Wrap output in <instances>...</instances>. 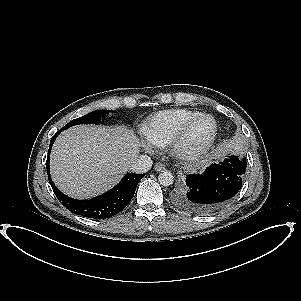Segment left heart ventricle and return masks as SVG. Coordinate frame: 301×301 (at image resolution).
<instances>
[{
  "instance_id": "b2bd125f",
  "label": "left heart ventricle",
  "mask_w": 301,
  "mask_h": 301,
  "mask_svg": "<svg viewBox=\"0 0 301 301\" xmlns=\"http://www.w3.org/2000/svg\"><path fill=\"white\" fill-rule=\"evenodd\" d=\"M213 124L209 119H202L195 123L189 130L185 145L198 147L203 144L212 133Z\"/></svg>"
}]
</instances>
